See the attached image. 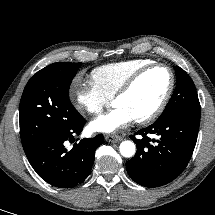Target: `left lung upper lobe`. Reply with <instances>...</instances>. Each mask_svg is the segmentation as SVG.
Returning a JSON list of instances; mask_svg holds the SVG:
<instances>
[{
  "label": "left lung upper lobe",
  "mask_w": 215,
  "mask_h": 215,
  "mask_svg": "<svg viewBox=\"0 0 215 215\" xmlns=\"http://www.w3.org/2000/svg\"><path fill=\"white\" fill-rule=\"evenodd\" d=\"M176 87L165 110L159 118L172 115H185L200 118V103L195 85L190 76L180 67L175 66Z\"/></svg>",
  "instance_id": "left-lung-upper-lobe-1"
}]
</instances>
